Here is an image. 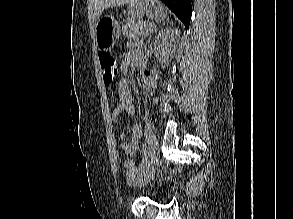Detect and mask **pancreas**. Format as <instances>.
Here are the masks:
<instances>
[{
  "label": "pancreas",
  "mask_w": 293,
  "mask_h": 219,
  "mask_svg": "<svg viewBox=\"0 0 293 219\" xmlns=\"http://www.w3.org/2000/svg\"><path fill=\"white\" fill-rule=\"evenodd\" d=\"M155 24L140 19L127 18L126 23L122 27V32L126 36H146L153 32Z\"/></svg>",
  "instance_id": "pancreas-1"
}]
</instances>
